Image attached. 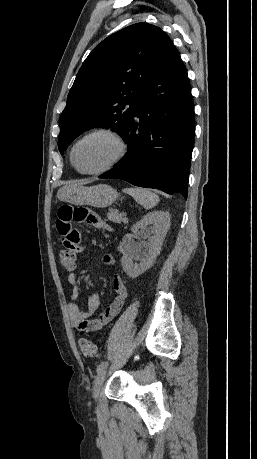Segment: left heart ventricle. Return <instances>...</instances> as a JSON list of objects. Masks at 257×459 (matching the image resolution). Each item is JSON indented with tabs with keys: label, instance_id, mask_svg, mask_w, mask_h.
<instances>
[{
	"label": "left heart ventricle",
	"instance_id": "obj_1",
	"mask_svg": "<svg viewBox=\"0 0 257 459\" xmlns=\"http://www.w3.org/2000/svg\"><path fill=\"white\" fill-rule=\"evenodd\" d=\"M118 146L105 135L90 137L81 142L75 150V162L83 171L98 169L113 159Z\"/></svg>",
	"mask_w": 257,
	"mask_h": 459
}]
</instances>
